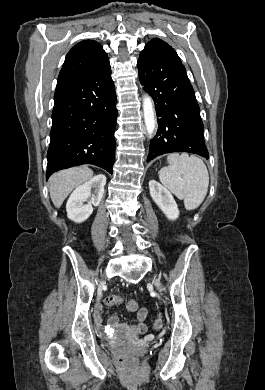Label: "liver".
<instances>
[{
    "instance_id": "1",
    "label": "liver",
    "mask_w": 265,
    "mask_h": 390,
    "mask_svg": "<svg viewBox=\"0 0 265 390\" xmlns=\"http://www.w3.org/2000/svg\"><path fill=\"white\" fill-rule=\"evenodd\" d=\"M93 171L87 166L69 168L53 174L49 179V191L53 204L59 208L70 192L90 180Z\"/></svg>"
}]
</instances>
